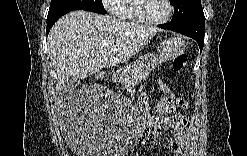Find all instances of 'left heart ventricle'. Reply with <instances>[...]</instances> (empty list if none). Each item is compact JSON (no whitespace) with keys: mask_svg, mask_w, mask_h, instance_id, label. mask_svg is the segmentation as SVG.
I'll return each mask as SVG.
<instances>
[{"mask_svg":"<svg viewBox=\"0 0 247 156\" xmlns=\"http://www.w3.org/2000/svg\"><path fill=\"white\" fill-rule=\"evenodd\" d=\"M139 12L147 18H162L167 13V7L163 0L140 1Z\"/></svg>","mask_w":247,"mask_h":156,"instance_id":"1","label":"left heart ventricle"}]
</instances>
